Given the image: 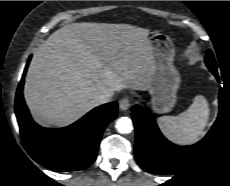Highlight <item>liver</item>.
Returning <instances> with one entry per match:
<instances>
[{
	"label": "liver",
	"mask_w": 230,
	"mask_h": 186,
	"mask_svg": "<svg viewBox=\"0 0 230 186\" xmlns=\"http://www.w3.org/2000/svg\"><path fill=\"white\" fill-rule=\"evenodd\" d=\"M149 30L128 24L72 23L33 55L26 104L44 127H65L98 106L103 93L146 90L153 68Z\"/></svg>",
	"instance_id": "6515ba94"
}]
</instances>
